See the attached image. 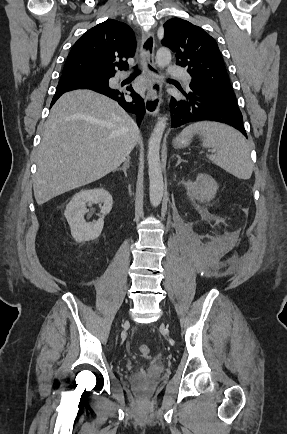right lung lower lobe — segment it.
Here are the masks:
<instances>
[{"label":"right lung lower lobe","mask_w":287,"mask_h":434,"mask_svg":"<svg viewBox=\"0 0 287 434\" xmlns=\"http://www.w3.org/2000/svg\"><path fill=\"white\" fill-rule=\"evenodd\" d=\"M73 89H91L101 94H104L119 103L127 112H131L137 115V124L140 126V123L145 114V105L143 99L138 95L133 88H127L131 94L132 102H128L125 100L124 94L115 89H111L108 86H101L96 84H68V83H58L56 88V93L53 97L51 105H53L56 100L66 91Z\"/></svg>","instance_id":"right-lung-lower-lobe-1"}]
</instances>
